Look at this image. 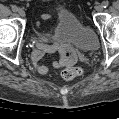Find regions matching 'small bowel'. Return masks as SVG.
I'll list each match as a JSON object with an SVG mask.
<instances>
[{
	"instance_id": "small-bowel-1",
	"label": "small bowel",
	"mask_w": 119,
	"mask_h": 119,
	"mask_svg": "<svg viewBox=\"0 0 119 119\" xmlns=\"http://www.w3.org/2000/svg\"><path fill=\"white\" fill-rule=\"evenodd\" d=\"M40 18L43 20H48L52 18V13L45 12ZM39 25L40 23L37 22L38 27ZM34 46L35 48L31 52V60L34 67L40 74H46L48 72V67L42 63V59L47 53H54L56 51L60 52V57L53 61V67L56 69L73 66L76 63L77 58L75 52L68 46L59 47L52 41L48 34H45L43 36V40L36 42Z\"/></svg>"
}]
</instances>
